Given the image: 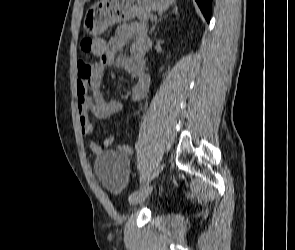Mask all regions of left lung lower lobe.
I'll use <instances>...</instances> for the list:
<instances>
[{"mask_svg":"<svg viewBox=\"0 0 295 250\" xmlns=\"http://www.w3.org/2000/svg\"><path fill=\"white\" fill-rule=\"evenodd\" d=\"M200 7L204 17L206 18L207 22L210 21L211 17V3L212 0H195Z\"/></svg>","mask_w":295,"mask_h":250,"instance_id":"obj_1","label":"left lung lower lobe"}]
</instances>
